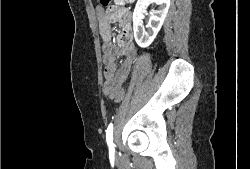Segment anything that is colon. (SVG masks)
<instances>
[{"instance_id": "5ec220e1", "label": "colon", "mask_w": 250, "mask_h": 169, "mask_svg": "<svg viewBox=\"0 0 250 169\" xmlns=\"http://www.w3.org/2000/svg\"><path fill=\"white\" fill-rule=\"evenodd\" d=\"M97 3H102L105 8H108L110 6V2L108 0H97ZM100 48H105V43H100ZM153 57L152 55L150 56ZM127 85L126 83L124 84ZM126 87H121L117 93H110V95H116L117 97H112V102H123V97H126Z\"/></svg>"}]
</instances>
